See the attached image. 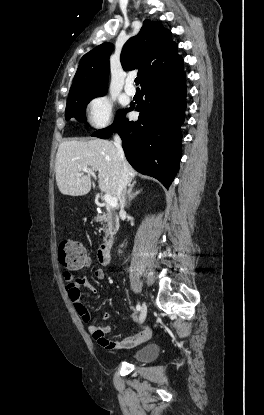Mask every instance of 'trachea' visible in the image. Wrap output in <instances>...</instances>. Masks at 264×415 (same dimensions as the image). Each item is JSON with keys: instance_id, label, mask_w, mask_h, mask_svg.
Segmentation results:
<instances>
[{"instance_id": "trachea-1", "label": "trachea", "mask_w": 264, "mask_h": 415, "mask_svg": "<svg viewBox=\"0 0 264 415\" xmlns=\"http://www.w3.org/2000/svg\"><path fill=\"white\" fill-rule=\"evenodd\" d=\"M135 83H136V85H139V79L138 78L135 79Z\"/></svg>"}]
</instances>
